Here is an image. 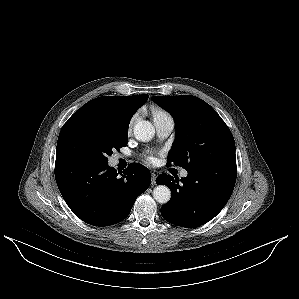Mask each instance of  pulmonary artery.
Segmentation results:
<instances>
[{
    "label": "pulmonary artery",
    "mask_w": 299,
    "mask_h": 299,
    "mask_svg": "<svg viewBox=\"0 0 299 299\" xmlns=\"http://www.w3.org/2000/svg\"><path fill=\"white\" fill-rule=\"evenodd\" d=\"M154 125L158 137L165 139L170 135L174 128V120L171 116H165L154 120ZM180 175L181 177H186L188 172L186 170H182Z\"/></svg>",
    "instance_id": "1"
}]
</instances>
